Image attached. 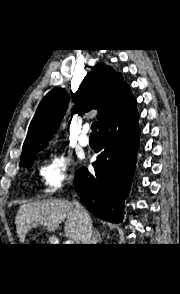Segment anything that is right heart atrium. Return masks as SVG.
Segmentation results:
<instances>
[{
  "label": "right heart atrium",
  "instance_id": "1",
  "mask_svg": "<svg viewBox=\"0 0 180 294\" xmlns=\"http://www.w3.org/2000/svg\"><path fill=\"white\" fill-rule=\"evenodd\" d=\"M71 160L62 151L51 152L38 168L42 192L55 194L71 179Z\"/></svg>",
  "mask_w": 180,
  "mask_h": 294
}]
</instances>
